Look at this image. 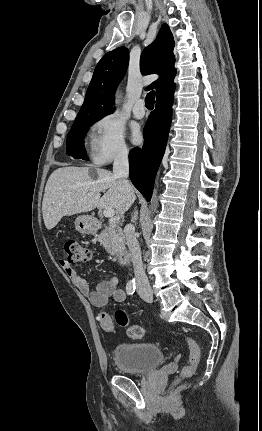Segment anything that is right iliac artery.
I'll use <instances>...</instances> for the list:
<instances>
[{"instance_id": "1", "label": "right iliac artery", "mask_w": 262, "mask_h": 431, "mask_svg": "<svg viewBox=\"0 0 262 431\" xmlns=\"http://www.w3.org/2000/svg\"><path fill=\"white\" fill-rule=\"evenodd\" d=\"M135 289H136V285L134 281H130L127 283L126 290L129 295H133V293L135 292Z\"/></svg>"}]
</instances>
